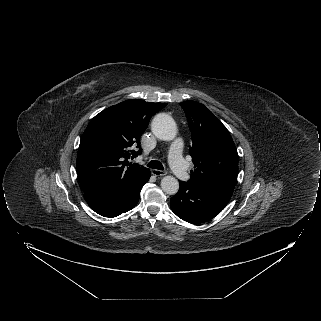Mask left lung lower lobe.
<instances>
[{
	"mask_svg": "<svg viewBox=\"0 0 321 321\" xmlns=\"http://www.w3.org/2000/svg\"><path fill=\"white\" fill-rule=\"evenodd\" d=\"M180 188L170 200L172 211L182 220L199 224L216 215L229 202L234 189L179 181Z\"/></svg>",
	"mask_w": 321,
	"mask_h": 321,
	"instance_id": "obj_1",
	"label": "left lung lower lobe"
}]
</instances>
